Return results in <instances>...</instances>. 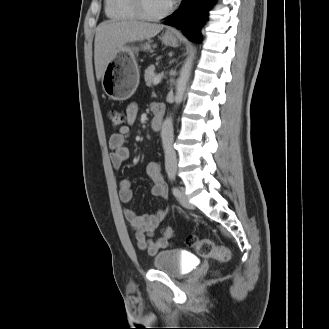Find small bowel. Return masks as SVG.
Instances as JSON below:
<instances>
[{
  "label": "small bowel",
  "instance_id": "1",
  "mask_svg": "<svg viewBox=\"0 0 329 329\" xmlns=\"http://www.w3.org/2000/svg\"><path fill=\"white\" fill-rule=\"evenodd\" d=\"M137 114V105L134 103L130 104L126 109L127 125L113 133L109 138L110 160L115 169H120L129 157L127 142L131 132L130 126L135 122ZM144 173L152 182L151 193L154 196L167 199V186L160 164L158 162H150L146 165ZM118 187L120 200L124 203H129L133 197L130 180L126 178L119 180ZM123 213L125 219L135 231L137 246L140 250L152 256L169 246V242L164 238L153 239L156 228L167 214V209H160L152 215L144 216L138 215L131 208H125Z\"/></svg>",
  "mask_w": 329,
  "mask_h": 329
}]
</instances>
